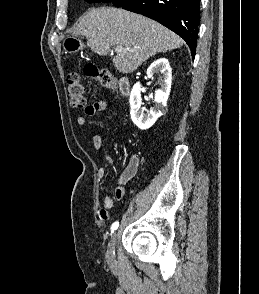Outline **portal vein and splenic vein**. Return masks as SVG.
<instances>
[{
  "label": "portal vein and splenic vein",
  "mask_w": 259,
  "mask_h": 294,
  "mask_svg": "<svg viewBox=\"0 0 259 294\" xmlns=\"http://www.w3.org/2000/svg\"><path fill=\"white\" fill-rule=\"evenodd\" d=\"M124 49H123V47L122 46H117V47H115V52H122Z\"/></svg>",
  "instance_id": "1"
}]
</instances>
